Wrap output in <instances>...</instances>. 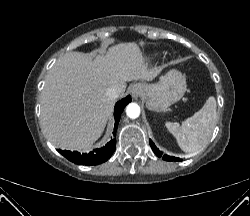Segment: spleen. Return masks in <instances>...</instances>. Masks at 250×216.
<instances>
[{
  "mask_svg": "<svg viewBox=\"0 0 250 216\" xmlns=\"http://www.w3.org/2000/svg\"><path fill=\"white\" fill-rule=\"evenodd\" d=\"M216 100L209 97L204 106L179 125L166 122L168 131L176 138L179 147L186 153H194L206 146L216 125Z\"/></svg>",
  "mask_w": 250,
  "mask_h": 216,
  "instance_id": "obj_1",
  "label": "spleen"
}]
</instances>
